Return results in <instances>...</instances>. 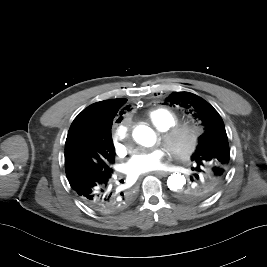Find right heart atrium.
Segmentation results:
<instances>
[{
	"label": "right heart atrium",
	"mask_w": 267,
	"mask_h": 267,
	"mask_svg": "<svg viewBox=\"0 0 267 267\" xmlns=\"http://www.w3.org/2000/svg\"><path fill=\"white\" fill-rule=\"evenodd\" d=\"M130 136L129 126L126 122H121L116 127L115 136L113 139L116 152L118 154H123L128 148L127 141Z\"/></svg>",
	"instance_id": "right-heart-atrium-1"
}]
</instances>
